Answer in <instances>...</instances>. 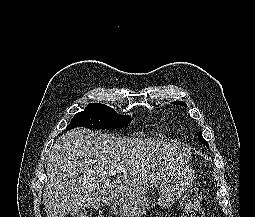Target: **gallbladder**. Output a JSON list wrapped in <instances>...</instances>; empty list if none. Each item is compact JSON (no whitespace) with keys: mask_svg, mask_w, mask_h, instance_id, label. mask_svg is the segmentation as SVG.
<instances>
[{"mask_svg":"<svg viewBox=\"0 0 255 217\" xmlns=\"http://www.w3.org/2000/svg\"><path fill=\"white\" fill-rule=\"evenodd\" d=\"M72 217H86L87 211L84 207H77L70 212Z\"/></svg>","mask_w":255,"mask_h":217,"instance_id":"obj_1","label":"gallbladder"}]
</instances>
